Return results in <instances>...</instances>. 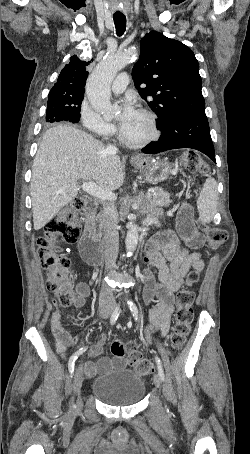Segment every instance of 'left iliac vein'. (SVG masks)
I'll return each instance as SVG.
<instances>
[{
    "instance_id": "left-iliac-vein-1",
    "label": "left iliac vein",
    "mask_w": 250,
    "mask_h": 454,
    "mask_svg": "<svg viewBox=\"0 0 250 454\" xmlns=\"http://www.w3.org/2000/svg\"><path fill=\"white\" fill-rule=\"evenodd\" d=\"M153 383L156 387L160 388L162 385V379L159 374H155L153 377Z\"/></svg>"
}]
</instances>
